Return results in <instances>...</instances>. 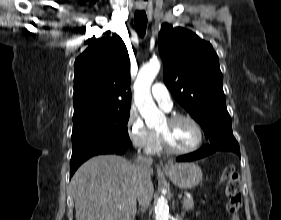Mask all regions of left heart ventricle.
Returning <instances> with one entry per match:
<instances>
[{
	"instance_id": "b2bd125f",
	"label": "left heart ventricle",
	"mask_w": 281,
	"mask_h": 220,
	"mask_svg": "<svg viewBox=\"0 0 281 220\" xmlns=\"http://www.w3.org/2000/svg\"><path fill=\"white\" fill-rule=\"evenodd\" d=\"M157 131L164 134L169 144L179 150L193 147L198 139L195 127L187 120L170 123L166 119Z\"/></svg>"
}]
</instances>
